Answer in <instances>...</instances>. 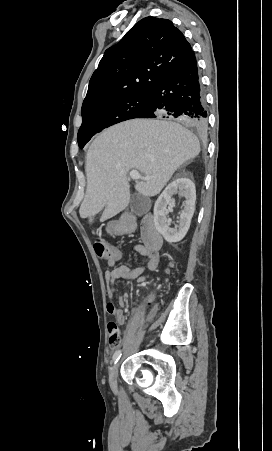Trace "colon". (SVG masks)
<instances>
[{"mask_svg":"<svg viewBox=\"0 0 272 451\" xmlns=\"http://www.w3.org/2000/svg\"><path fill=\"white\" fill-rule=\"evenodd\" d=\"M94 249L96 254L100 257H105L108 254H110L111 256H118L120 254V249L118 247H111L109 249V245L101 239L94 241ZM140 268L144 269L145 265L141 264ZM107 334L109 345L112 347H118L120 345L119 326L115 321H109L107 323Z\"/></svg>","mask_w":272,"mask_h":451,"instance_id":"obj_1","label":"colon"}]
</instances>
